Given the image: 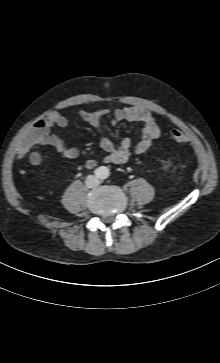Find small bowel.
Returning <instances> with one entry per match:
<instances>
[{
    "mask_svg": "<svg viewBox=\"0 0 220 363\" xmlns=\"http://www.w3.org/2000/svg\"><path fill=\"white\" fill-rule=\"evenodd\" d=\"M109 113L113 114V124L121 120L140 123L142 126V136L134 145L127 138L121 140L119 145H116L110 138L106 136L102 137L100 144L106 152L104 157L106 163L123 164L129 159L132 153L142 154L146 152L152 142L161 134V129L151 112L141 107L131 106L113 111L106 108L92 112L81 110L78 112V116L83 121L100 130L102 119ZM68 125V119L59 113H52L43 120L38 121L29 131L23 144L19 146L17 155L19 157L29 155L30 162L33 165H39L42 160V154L38 146L49 145L54 147L58 154L68 159L77 158L80 154L79 148L68 147L61 138L51 133V129L54 127L66 128ZM96 163V160L90 159L84 163V167L90 169L95 167Z\"/></svg>",
    "mask_w": 220,
    "mask_h": 363,
    "instance_id": "1",
    "label": "small bowel"
}]
</instances>
